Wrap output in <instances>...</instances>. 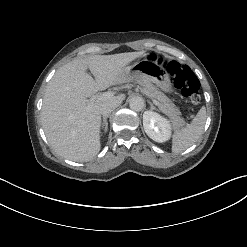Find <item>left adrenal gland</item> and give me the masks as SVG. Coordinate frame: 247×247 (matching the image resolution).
<instances>
[{
	"instance_id": "obj_1",
	"label": "left adrenal gland",
	"mask_w": 247,
	"mask_h": 247,
	"mask_svg": "<svg viewBox=\"0 0 247 247\" xmlns=\"http://www.w3.org/2000/svg\"><path fill=\"white\" fill-rule=\"evenodd\" d=\"M149 104H150V108H151L152 110L156 109L155 106H154L151 102H149Z\"/></svg>"
}]
</instances>
